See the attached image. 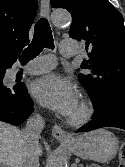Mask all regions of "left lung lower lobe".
<instances>
[{
  "mask_svg": "<svg viewBox=\"0 0 125 167\" xmlns=\"http://www.w3.org/2000/svg\"><path fill=\"white\" fill-rule=\"evenodd\" d=\"M96 112L92 121L76 132H88L103 127H117L125 130V92L105 94L93 104Z\"/></svg>",
  "mask_w": 125,
  "mask_h": 167,
  "instance_id": "obj_1",
  "label": "left lung lower lobe"
}]
</instances>
